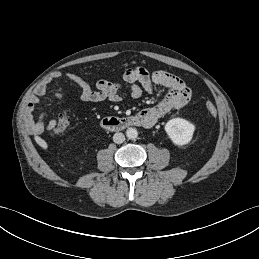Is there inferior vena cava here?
<instances>
[{
  "mask_svg": "<svg viewBox=\"0 0 259 259\" xmlns=\"http://www.w3.org/2000/svg\"><path fill=\"white\" fill-rule=\"evenodd\" d=\"M124 140H125V136H124L123 133H119V132H118V133H115V134L113 135V141H114L115 143H117V144L123 143Z\"/></svg>",
  "mask_w": 259,
  "mask_h": 259,
  "instance_id": "1",
  "label": "inferior vena cava"
}]
</instances>
